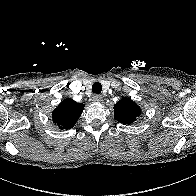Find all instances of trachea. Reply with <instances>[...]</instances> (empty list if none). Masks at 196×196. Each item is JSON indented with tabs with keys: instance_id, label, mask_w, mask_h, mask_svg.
I'll return each mask as SVG.
<instances>
[{
	"instance_id": "trachea-1",
	"label": "trachea",
	"mask_w": 196,
	"mask_h": 196,
	"mask_svg": "<svg viewBox=\"0 0 196 196\" xmlns=\"http://www.w3.org/2000/svg\"><path fill=\"white\" fill-rule=\"evenodd\" d=\"M102 91V85L99 82H95L92 85V92L95 94H99Z\"/></svg>"
}]
</instances>
